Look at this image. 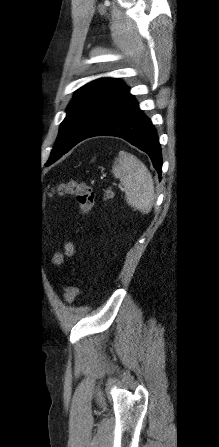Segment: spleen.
<instances>
[{"mask_svg": "<svg viewBox=\"0 0 219 447\" xmlns=\"http://www.w3.org/2000/svg\"><path fill=\"white\" fill-rule=\"evenodd\" d=\"M124 184L127 203L141 213H149L154 202V183L147 167L134 155L120 151L112 168Z\"/></svg>", "mask_w": 219, "mask_h": 447, "instance_id": "1", "label": "spleen"}]
</instances>
